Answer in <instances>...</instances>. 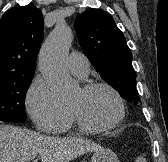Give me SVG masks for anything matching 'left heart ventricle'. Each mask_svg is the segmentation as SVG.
Masks as SVG:
<instances>
[{
	"label": "left heart ventricle",
	"instance_id": "obj_1",
	"mask_svg": "<svg viewBox=\"0 0 168 162\" xmlns=\"http://www.w3.org/2000/svg\"><path fill=\"white\" fill-rule=\"evenodd\" d=\"M69 106L93 125L110 123L117 115V103L113 95L105 89L85 93L81 89L73 96Z\"/></svg>",
	"mask_w": 168,
	"mask_h": 162
}]
</instances>
